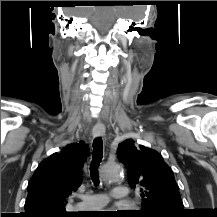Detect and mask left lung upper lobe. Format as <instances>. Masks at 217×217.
<instances>
[{"label":"left lung upper lobe","instance_id":"left-lung-upper-lobe-1","mask_svg":"<svg viewBox=\"0 0 217 217\" xmlns=\"http://www.w3.org/2000/svg\"><path fill=\"white\" fill-rule=\"evenodd\" d=\"M117 155L128 169V183L140 187L144 217H182L184 206L174 174L155 150L132 139L119 144Z\"/></svg>","mask_w":217,"mask_h":217}]
</instances>
